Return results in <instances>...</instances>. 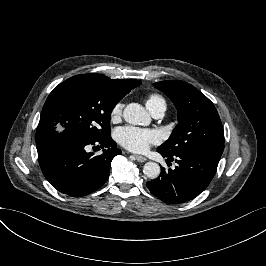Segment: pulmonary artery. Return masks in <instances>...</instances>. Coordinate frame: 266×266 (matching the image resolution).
Returning <instances> with one entry per match:
<instances>
[{
  "label": "pulmonary artery",
  "mask_w": 266,
  "mask_h": 266,
  "mask_svg": "<svg viewBox=\"0 0 266 266\" xmlns=\"http://www.w3.org/2000/svg\"><path fill=\"white\" fill-rule=\"evenodd\" d=\"M164 112H165V109H160V110L154 112L153 115L155 117H161L164 114Z\"/></svg>",
  "instance_id": "pulmonary-artery-1"
}]
</instances>
